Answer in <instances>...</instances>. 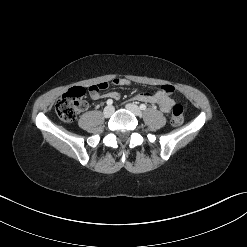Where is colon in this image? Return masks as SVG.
Here are the masks:
<instances>
[{
	"label": "colon",
	"mask_w": 247,
	"mask_h": 247,
	"mask_svg": "<svg viewBox=\"0 0 247 247\" xmlns=\"http://www.w3.org/2000/svg\"><path fill=\"white\" fill-rule=\"evenodd\" d=\"M107 87L106 83H99L92 86V89L101 91ZM85 89L82 87H73L63 94L55 104V111L58 117L64 122L75 120L79 111L85 107L83 100ZM171 124L180 126L184 121V108L181 104L175 103L171 111Z\"/></svg>",
	"instance_id": "colon-1"
}]
</instances>
